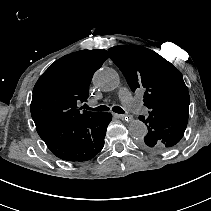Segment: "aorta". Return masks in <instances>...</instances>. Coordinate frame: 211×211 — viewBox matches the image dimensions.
<instances>
[{
    "instance_id": "1",
    "label": "aorta",
    "mask_w": 211,
    "mask_h": 211,
    "mask_svg": "<svg viewBox=\"0 0 211 211\" xmlns=\"http://www.w3.org/2000/svg\"><path fill=\"white\" fill-rule=\"evenodd\" d=\"M119 83V75L112 68H101L93 77V84L104 91L116 89L119 86ZM128 130L130 135L135 139L143 138L148 131L145 123L138 119L130 121Z\"/></svg>"
}]
</instances>
